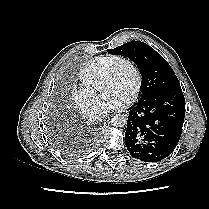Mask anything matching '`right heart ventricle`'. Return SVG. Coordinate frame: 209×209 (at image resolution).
Returning <instances> with one entry per match:
<instances>
[{
  "label": "right heart ventricle",
  "mask_w": 209,
  "mask_h": 209,
  "mask_svg": "<svg viewBox=\"0 0 209 209\" xmlns=\"http://www.w3.org/2000/svg\"><path fill=\"white\" fill-rule=\"evenodd\" d=\"M119 58L117 55H103L88 61L78 75L83 87L94 92L99 90L106 71Z\"/></svg>",
  "instance_id": "right-heart-ventricle-1"
}]
</instances>
